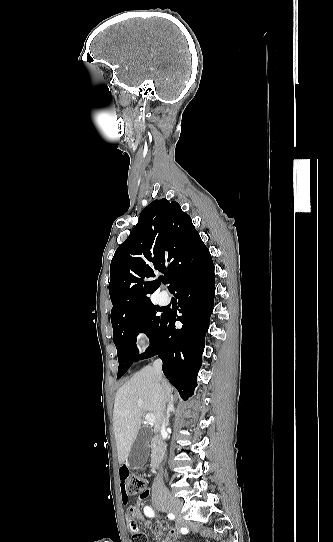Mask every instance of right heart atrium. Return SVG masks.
Segmentation results:
<instances>
[{
    "instance_id": "obj_1",
    "label": "right heart atrium",
    "mask_w": 333,
    "mask_h": 542,
    "mask_svg": "<svg viewBox=\"0 0 333 542\" xmlns=\"http://www.w3.org/2000/svg\"><path fill=\"white\" fill-rule=\"evenodd\" d=\"M137 336H138V339L140 340V342L145 345L148 341V334L146 331L144 330H139L138 333H137Z\"/></svg>"
}]
</instances>
